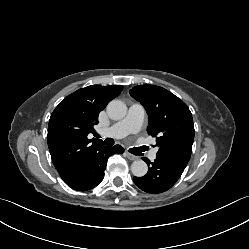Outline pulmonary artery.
Segmentation results:
<instances>
[{"instance_id": "obj_1", "label": "pulmonary artery", "mask_w": 249, "mask_h": 249, "mask_svg": "<svg viewBox=\"0 0 249 249\" xmlns=\"http://www.w3.org/2000/svg\"><path fill=\"white\" fill-rule=\"evenodd\" d=\"M145 119V110L140 104H132L126 116L108 129H103L100 134L103 136H113L122 138L130 133L138 132ZM156 150H153L149 156L150 160L156 159Z\"/></svg>"}]
</instances>
